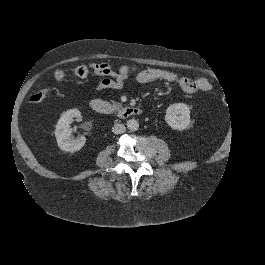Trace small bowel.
Masks as SVG:
<instances>
[{
	"label": "small bowel",
	"mask_w": 265,
	"mask_h": 265,
	"mask_svg": "<svg viewBox=\"0 0 265 265\" xmlns=\"http://www.w3.org/2000/svg\"><path fill=\"white\" fill-rule=\"evenodd\" d=\"M90 68L93 70L95 75L103 77V79L95 87V94L98 96L107 89H122L130 73L136 70L135 67L129 65H123L118 70H115L108 63H93L90 65ZM154 80L176 83L188 94H192L197 91H208L211 89L210 82L202 76L190 78L186 76H179L168 70L156 68L139 71L136 75V81L139 83H147Z\"/></svg>",
	"instance_id": "obj_1"
}]
</instances>
